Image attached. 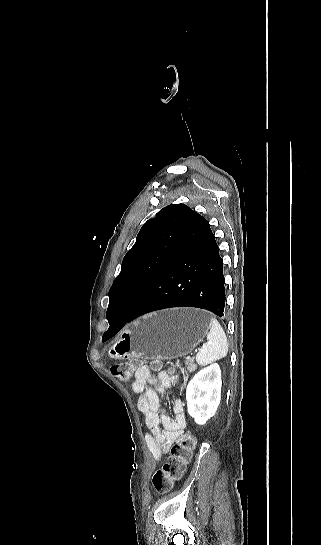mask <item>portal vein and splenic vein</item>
I'll return each instance as SVG.
<instances>
[{
	"instance_id": "18ae733b",
	"label": "portal vein and splenic vein",
	"mask_w": 321,
	"mask_h": 545,
	"mask_svg": "<svg viewBox=\"0 0 321 545\" xmlns=\"http://www.w3.org/2000/svg\"><path fill=\"white\" fill-rule=\"evenodd\" d=\"M206 344H212V341H206ZM199 345L202 347L204 344L201 342Z\"/></svg>"
}]
</instances>
